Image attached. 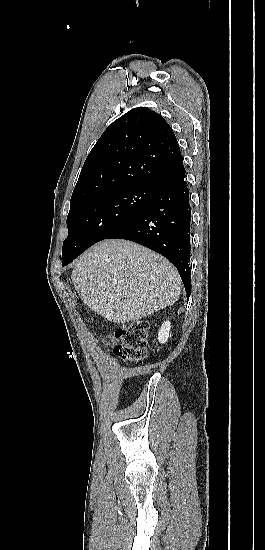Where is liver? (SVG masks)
Listing matches in <instances>:
<instances>
[{"mask_svg": "<svg viewBox=\"0 0 265 550\" xmlns=\"http://www.w3.org/2000/svg\"><path fill=\"white\" fill-rule=\"evenodd\" d=\"M71 277L83 302L105 320L118 324L173 305L182 288L171 262L121 239L105 240L85 251Z\"/></svg>", "mask_w": 265, "mask_h": 550, "instance_id": "obj_1", "label": "liver"}]
</instances>
